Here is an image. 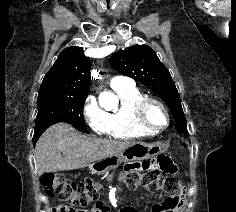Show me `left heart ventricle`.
I'll use <instances>...</instances> for the list:
<instances>
[{"label": "left heart ventricle", "mask_w": 236, "mask_h": 212, "mask_svg": "<svg viewBox=\"0 0 236 212\" xmlns=\"http://www.w3.org/2000/svg\"><path fill=\"white\" fill-rule=\"evenodd\" d=\"M149 118L156 126H162L165 124V116L158 107L153 106L150 109Z\"/></svg>", "instance_id": "1"}]
</instances>
